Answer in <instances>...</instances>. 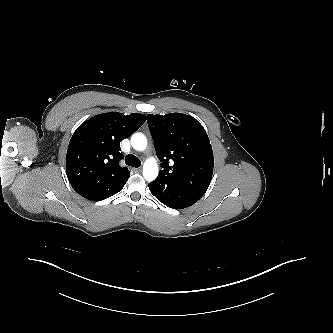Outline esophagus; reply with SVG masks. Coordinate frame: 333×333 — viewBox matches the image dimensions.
<instances>
[{"instance_id": "34e87169", "label": "esophagus", "mask_w": 333, "mask_h": 333, "mask_svg": "<svg viewBox=\"0 0 333 333\" xmlns=\"http://www.w3.org/2000/svg\"><path fill=\"white\" fill-rule=\"evenodd\" d=\"M141 170H142L141 167L134 169L135 172H141Z\"/></svg>"}]
</instances>
